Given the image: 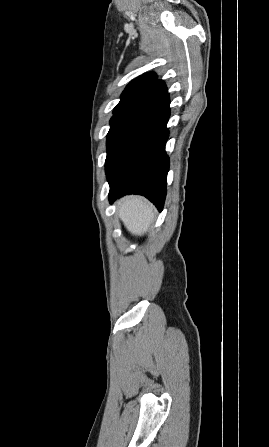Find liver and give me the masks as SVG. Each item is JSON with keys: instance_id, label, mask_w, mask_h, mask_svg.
Returning a JSON list of instances; mask_svg holds the SVG:
<instances>
[{"instance_id": "obj_1", "label": "liver", "mask_w": 269, "mask_h": 447, "mask_svg": "<svg viewBox=\"0 0 269 447\" xmlns=\"http://www.w3.org/2000/svg\"><path fill=\"white\" fill-rule=\"evenodd\" d=\"M118 216L127 229L135 235L146 233L150 229V224L154 218L152 206L139 196L124 198L119 204Z\"/></svg>"}]
</instances>
